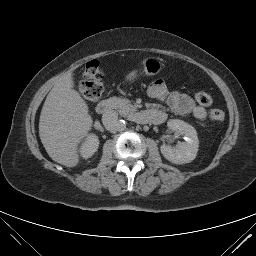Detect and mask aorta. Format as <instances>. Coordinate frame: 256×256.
Here are the masks:
<instances>
[{"instance_id": "1", "label": "aorta", "mask_w": 256, "mask_h": 256, "mask_svg": "<svg viewBox=\"0 0 256 256\" xmlns=\"http://www.w3.org/2000/svg\"><path fill=\"white\" fill-rule=\"evenodd\" d=\"M126 129V122L124 120H119L117 130L124 131Z\"/></svg>"}]
</instances>
